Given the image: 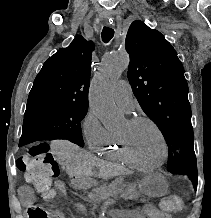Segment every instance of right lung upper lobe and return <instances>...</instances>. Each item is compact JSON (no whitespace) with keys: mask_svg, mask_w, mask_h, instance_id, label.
Returning <instances> with one entry per match:
<instances>
[{"mask_svg":"<svg viewBox=\"0 0 211 218\" xmlns=\"http://www.w3.org/2000/svg\"><path fill=\"white\" fill-rule=\"evenodd\" d=\"M94 45L76 36L43 65L34 80L27 104L35 102H71L88 104L91 58Z\"/></svg>","mask_w":211,"mask_h":218,"instance_id":"obj_1","label":"right lung upper lobe"}]
</instances>
